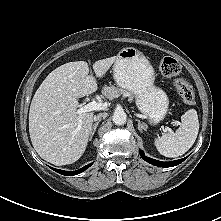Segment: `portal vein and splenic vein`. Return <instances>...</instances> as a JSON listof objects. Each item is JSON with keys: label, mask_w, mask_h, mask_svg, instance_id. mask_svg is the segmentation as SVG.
Masks as SVG:
<instances>
[{"label": "portal vein and splenic vein", "mask_w": 221, "mask_h": 221, "mask_svg": "<svg viewBox=\"0 0 221 221\" xmlns=\"http://www.w3.org/2000/svg\"><path fill=\"white\" fill-rule=\"evenodd\" d=\"M108 104L106 102L102 103V102H90L86 105H84L83 107L79 108L77 110L78 114H82L84 112H90V111H98V110H105L107 108ZM173 125H180L179 121H173L172 122Z\"/></svg>", "instance_id": "18ae733b"}]
</instances>
